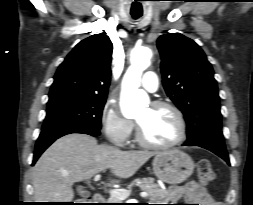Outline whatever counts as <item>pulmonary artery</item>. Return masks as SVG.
Instances as JSON below:
<instances>
[{"instance_id": "obj_1", "label": "pulmonary artery", "mask_w": 253, "mask_h": 205, "mask_svg": "<svg viewBox=\"0 0 253 205\" xmlns=\"http://www.w3.org/2000/svg\"><path fill=\"white\" fill-rule=\"evenodd\" d=\"M141 84L145 90L155 92L159 86L158 77L154 72L148 71L144 74Z\"/></svg>"}]
</instances>
